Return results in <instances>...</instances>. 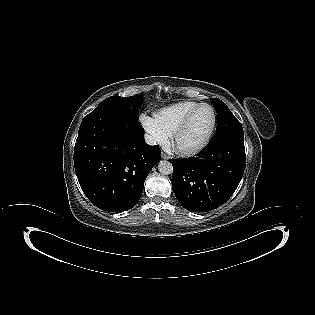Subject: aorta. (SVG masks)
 Wrapping results in <instances>:
<instances>
[{
	"mask_svg": "<svg viewBox=\"0 0 315 315\" xmlns=\"http://www.w3.org/2000/svg\"><path fill=\"white\" fill-rule=\"evenodd\" d=\"M158 171L163 175H169L173 171L172 164L166 160L160 161L158 163Z\"/></svg>",
	"mask_w": 315,
	"mask_h": 315,
	"instance_id": "aorta-1",
	"label": "aorta"
}]
</instances>
